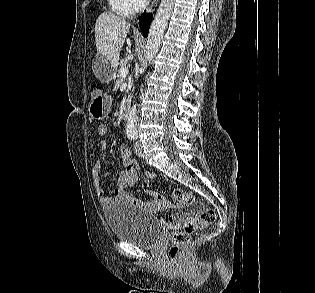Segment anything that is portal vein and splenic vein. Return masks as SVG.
<instances>
[{
	"label": "portal vein and splenic vein",
	"mask_w": 315,
	"mask_h": 293,
	"mask_svg": "<svg viewBox=\"0 0 315 293\" xmlns=\"http://www.w3.org/2000/svg\"><path fill=\"white\" fill-rule=\"evenodd\" d=\"M127 73H128V70H127V67L125 66L121 69V76L126 77Z\"/></svg>",
	"instance_id": "18ae733b"
}]
</instances>
